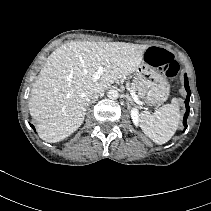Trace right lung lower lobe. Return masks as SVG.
Instances as JSON below:
<instances>
[{
	"label": "right lung lower lobe",
	"instance_id": "98d812e1",
	"mask_svg": "<svg viewBox=\"0 0 211 211\" xmlns=\"http://www.w3.org/2000/svg\"><path fill=\"white\" fill-rule=\"evenodd\" d=\"M30 126L35 130L34 126L30 124Z\"/></svg>",
	"mask_w": 211,
	"mask_h": 211
}]
</instances>
